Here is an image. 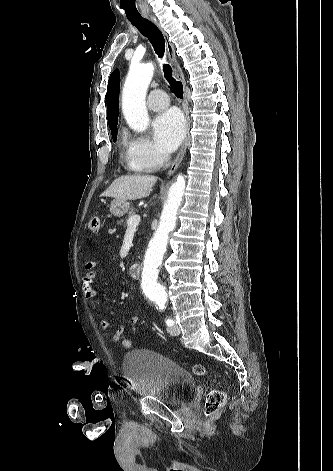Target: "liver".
<instances>
[{"mask_svg":"<svg viewBox=\"0 0 333 471\" xmlns=\"http://www.w3.org/2000/svg\"><path fill=\"white\" fill-rule=\"evenodd\" d=\"M157 177L152 175H125L115 179L102 194L118 200H136L150 195Z\"/></svg>","mask_w":333,"mask_h":471,"instance_id":"1","label":"liver"}]
</instances>
